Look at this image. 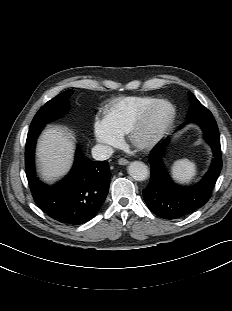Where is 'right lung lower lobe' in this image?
<instances>
[{
	"label": "right lung lower lobe",
	"mask_w": 232,
	"mask_h": 311,
	"mask_svg": "<svg viewBox=\"0 0 232 311\" xmlns=\"http://www.w3.org/2000/svg\"><path fill=\"white\" fill-rule=\"evenodd\" d=\"M43 127L30 129L26 140V176L34 201L59 222L83 224L98 213L109 191V163L91 161L78 148L70 173L56 185L44 184L36 176L34 164L36 139Z\"/></svg>",
	"instance_id": "98d812e1"
}]
</instances>
